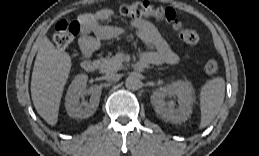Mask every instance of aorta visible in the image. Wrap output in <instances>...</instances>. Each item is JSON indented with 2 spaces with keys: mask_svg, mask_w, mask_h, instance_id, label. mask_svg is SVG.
I'll list each match as a JSON object with an SVG mask.
<instances>
[{
  "mask_svg": "<svg viewBox=\"0 0 259 156\" xmlns=\"http://www.w3.org/2000/svg\"><path fill=\"white\" fill-rule=\"evenodd\" d=\"M125 85L129 90H137L140 87V80L135 76L126 78Z\"/></svg>",
  "mask_w": 259,
  "mask_h": 156,
  "instance_id": "aorta-1",
  "label": "aorta"
}]
</instances>
